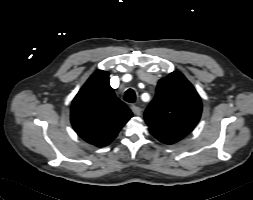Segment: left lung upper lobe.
<instances>
[{
	"mask_svg": "<svg viewBox=\"0 0 253 200\" xmlns=\"http://www.w3.org/2000/svg\"><path fill=\"white\" fill-rule=\"evenodd\" d=\"M202 111L199 95L183 74L172 72L157 85L156 96L145 111L150 131L186 136Z\"/></svg>",
	"mask_w": 253,
	"mask_h": 200,
	"instance_id": "5c2ea615",
	"label": "left lung upper lobe"
}]
</instances>
